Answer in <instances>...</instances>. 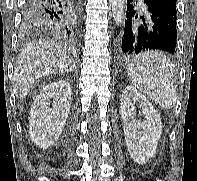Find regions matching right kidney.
<instances>
[{
  "mask_svg": "<svg viewBox=\"0 0 197 181\" xmlns=\"http://www.w3.org/2000/svg\"><path fill=\"white\" fill-rule=\"evenodd\" d=\"M72 89L69 82L59 80L44 86L36 96L30 111L29 133L41 148L55 144L68 117Z\"/></svg>",
  "mask_w": 197,
  "mask_h": 181,
  "instance_id": "right-kidney-1",
  "label": "right kidney"
}]
</instances>
